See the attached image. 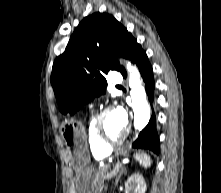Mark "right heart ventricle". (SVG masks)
Returning a JSON list of instances; mask_svg holds the SVG:
<instances>
[{"mask_svg": "<svg viewBox=\"0 0 221 193\" xmlns=\"http://www.w3.org/2000/svg\"><path fill=\"white\" fill-rule=\"evenodd\" d=\"M95 117L96 116L92 114L88 120V126H87L88 143L91 153L95 158H104L110 154L111 149L101 144L99 140L96 138L94 133Z\"/></svg>", "mask_w": 221, "mask_h": 193, "instance_id": "obj_1", "label": "right heart ventricle"}]
</instances>
